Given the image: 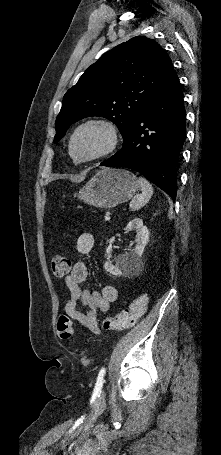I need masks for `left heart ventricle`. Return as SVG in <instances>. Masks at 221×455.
<instances>
[{
	"label": "left heart ventricle",
	"mask_w": 221,
	"mask_h": 455,
	"mask_svg": "<svg viewBox=\"0 0 221 455\" xmlns=\"http://www.w3.org/2000/svg\"><path fill=\"white\" fill-rule=\"evenodd\" d=\"M106 145L105 133L97 128H88L80 133L74 145L77 157L85 158L101 151Z\"/></svg>",
	"instance_id": "obj_1"
}]
</instances>
